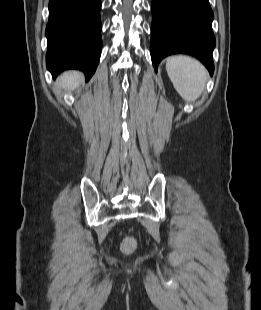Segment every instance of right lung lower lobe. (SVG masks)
Returning <instances> with one entry per match:
<instances>
[{"mask_svg":"<svg viewBox=\"0 0 261 310\" xmlns=\"http://www.w3.org/2000/svg\"><path fill=\"white\" fill-rule=\"evenodd\" d=\"M100 0H50L46 27V65L56 77L79 69L86 80L94 74L101 54Z\"/></svg>","mask_w":261,"mask_h":310,"instance_id":"98d812e1","label":"right lung lower lobe"}]
</instances>
